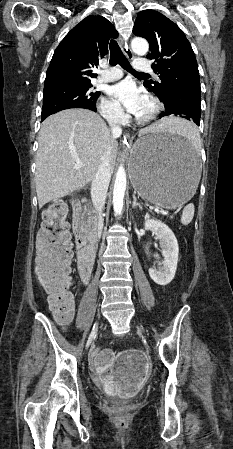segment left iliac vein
<instances>
[{
	"label": "left iliac vein",
	"mask_w": 233,
	"mask_h": 449,
	"mask_svg": "<svg viewBox=\"0 0 233 449\" xmlns=\"http://www.w3.org/2000/svg\"><path fill=\"white\" fill-rule=\"evenodd\" d=\"M138 330H140L142 333H144V329L140 326H138Z\"/></svg>",
	"instance_id": "left-iliac-vein-1"
}]
</instances>
